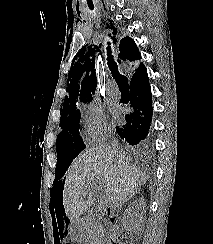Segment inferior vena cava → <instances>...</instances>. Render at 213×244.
Returning a JSON list of instances; mask_svg holds the SVG:
<instances>
[{
  "label": "inferior vena cava",
  "mask_w": 213,
  "mask_h": 244,
  "mask_svg": "<svg viewBox=\"0 0 213 244\" xmlns=\"http://www.w3.org/2000/svg\"><path fill=\"white\" fill-rule=\"evenodd\" d=\"M114 148H115V144H114ZM117 205H118V203H115L113 205H110V207L115 209V207H117Z\"/></svg>",
  "instance_id": "602c4592"
}]
</instances>
